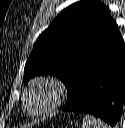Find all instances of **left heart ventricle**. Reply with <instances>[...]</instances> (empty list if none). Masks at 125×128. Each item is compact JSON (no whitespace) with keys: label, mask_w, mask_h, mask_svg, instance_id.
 <instances>
[{"label":"left heart ventricle","mask_w":125,"mask_h":128,"mask_svg":"<svg viewBox=\"0 0 125 128\" xmlns=\"http://www.w3.org/2000/svg\"><path fill=\"white\" fill-rule=\"evenodd\" d=\"M47 100V96L42 91H36L33 95H31L29 99V103L32 107H40L42 106Z\"/></svg>","instance_id":"1"}]
</instances>
